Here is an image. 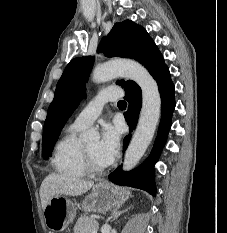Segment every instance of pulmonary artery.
Instances as JSON below:
<instances>
[{"label": "pulmonary artery", "instance_id": "1", "mask_svg": "<svg viewBox=\"0 0 227 233\" xmlns=\"http://www.w3.org/2000/svg\"><path fill=\"white\" fill-rule=\"evenodd\" d=\"M120 95V90L116 88H106L100 91L77 115L72 125L80 129L90 126L102 113L103 106L109 101L117 100Z\"/></svg>", "mask_w": 227, "mask_h": 233}]
</instances>
